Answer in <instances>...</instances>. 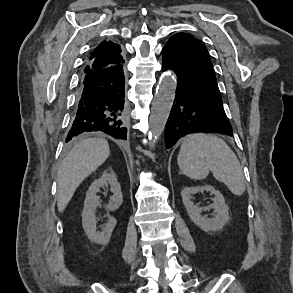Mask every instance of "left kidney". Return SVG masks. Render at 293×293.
<instances>
[{"instance_id": "5707ae66", "label": "left kidney", "mask_w": 293, "mask_h": 293, "mask_svg": "<svg viewBox=\"0 0 293 293\" xmlns=\"http://www.w3.org/2000/svg\"><path fill=\"white\" fill-rule=\"evenodd\" d=\"M210 192L214 195L213 204L208 207L201 208L194 205L192 198L194 194L198 192ZM182 201L187 210L190 219L203 231H218L222 229L225 224L229 221V210L225 204V199L220 191L216 190L213 186H196V187H185L181 191ZM213 209L216 214L214 218H207L202 216V210Z\"/></svg>"}]
</instances>
